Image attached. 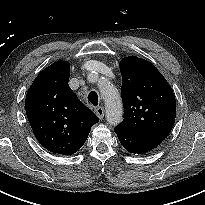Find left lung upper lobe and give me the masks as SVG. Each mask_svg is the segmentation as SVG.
<instances>
[{
    "label": "left lung upper lobe",
    "instance_id": "obj_1",
    "mask_svg": "<svg viewBox=\"0 0 205 205\" xmlns=\"http://www.w3.org/2000/svg\"><path fill=\"white\" fill-rule=\"evenodd\" d=\"M120 70L124 119L117 128L159 145L175 122L172 88L154 65L136 56L122 59Z\"/></svg>",
    "mask_w": 205,
    "mask_h": 205
}]
</instances>
